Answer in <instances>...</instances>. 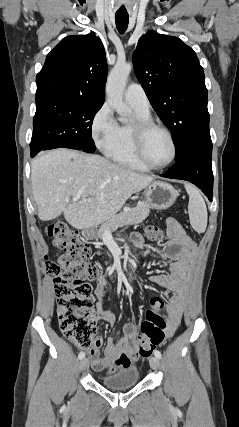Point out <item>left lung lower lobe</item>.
Instances as JSON below:
<instances>
[{"mask_svg": "<svg viewBox=\"0 0 239 427\" xmlns=\"http://www.w3.org/2000/svg\"><path fill=\"white\" fill-rule=\"evenodd\" d=\"M212 142L190 147L162 177L181 179L195 184L212 201Z\"/></svg>", "mask_w": 239, "mask_h": 427, "instance_id": "left-lung-lower-lobe-1", "label": "left lung lower lobe"}]
</instances>
